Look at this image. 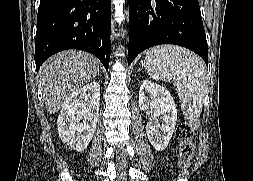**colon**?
I'll return each instance as SVG.
<instances>
[{
	"instance_id": "1",
	"label": "colon",
	"mask_w": 253,
	"mask_h": 181,
	"mask_svg": "<svg viewBox=\"0 0 253 181\" xmlns=\"http://www.w3.org/2000/svg\"><path fill=\"white\" fill-rule=\"evenodd\" d=\"M176 135L180 140L179 151L184 164L188 163L194 152L193 131L186 123H180L176 129Z\"/></svg>"
}]
</instances>
